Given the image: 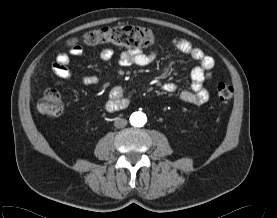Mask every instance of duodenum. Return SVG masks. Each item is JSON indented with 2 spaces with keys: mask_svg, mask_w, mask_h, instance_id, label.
Masks as SVG:
<instances>
[{
  "mask_svg": "<svg viewBox=\"0 0 277 218\" xmlns=\"http://www.w3.org/2000/svg\"><path fill=\"white\" fill-rule=\"evenodd\" d=\"M127 105V100H117L112 103L113 110H119Z\"/></svg>",
  "mask_w": 277,
  "mask_h": 218,
  "instance_id": "1",
  "label": "duodenum"
}]
</instances>
